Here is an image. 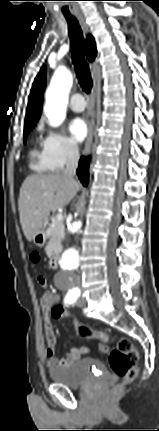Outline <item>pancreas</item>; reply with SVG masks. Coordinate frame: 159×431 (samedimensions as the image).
<instances>
[{
  "label": "pancreas",
  "instance_id": "pancreas-1",
  "mask_svg": "<svg viewBox=\"0 0 159 431\" xmlns=\"http://www.w3.org/2000/svg\"><path fill=\"white\" fill-rule=\"evenodd\" d=\"M56 217L52 219V225L47 229L49 243L45 250L49 257L59 253L62 249V240L65 236V226L63 221H56Z\"/></svg>",
  "mask_w": 159,
  "mask_h": 431
}]
</instances>
